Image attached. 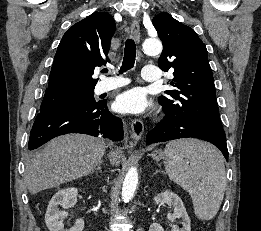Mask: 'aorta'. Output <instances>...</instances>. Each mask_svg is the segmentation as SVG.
<instances>
[{
    "instance_id": "aorta-1",
    "label": "aorta",
    "mask_w": 261,
    "mask_h": 231,
    "mask_svg": "<svg viewBox=\"0 0 261 231\" xmlns=\"http://www.w3.org/2000/svg\"><path fill=\"white\" fill-rule=\"evenodd\" d=\"M143 51L147 55H158L162 51V44L158 40H146L143 43ZM138 184V172L135 167L128 169L122 186V199L128 202L136 191Z\"/></svg>"
}]
</instances>
